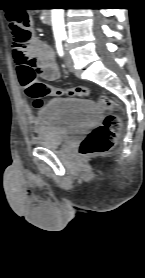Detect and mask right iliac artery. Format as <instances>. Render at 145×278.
Returning a JSON list of instances; mask_svg holds the SVG:
<instances>
[{
	"mask_svg": "<svg viewBox=\"0 0 145 278\" xmlns=\"http://www.w3.org/2000/svg\"><path fill=\"white\" fill-rule=\"evenodd\" d=\"M56 48H57V51H58L59 55L63 56L64 53H63V48H62V45H61V39L60 38H56Z\"/></svg>",
	"mask_w": 145,
	"mask_h": 278,
	"instance_id": "1",
	"label": "right iliac artery"
}]
</instances>
